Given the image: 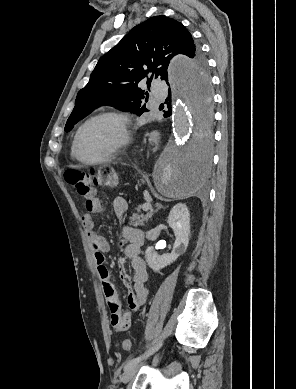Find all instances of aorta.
<instances>
[{
	"label": "aorta",
	"instance_id": "aorta-1",
	"mask_svg": "<svg viewBox=\"0 0 296 389\" xmlns=\"http://www.w3.org/2000/svg\"><path fill=\"white\" fill-rule=\"evenodd\" d=\"M173 104L172 139L154 172L155 186L166 197L182 198L202 189L207 167L212 166L213 104L211 74L191 67V60L176 56L168 69Z\"/></svg>",
	"mask_w": 296,
	"mask_h": 389
}]
</instances>
